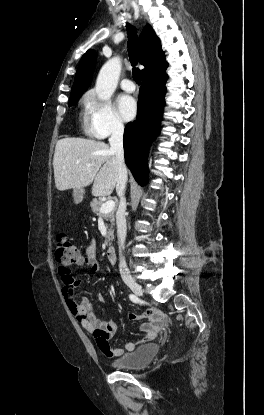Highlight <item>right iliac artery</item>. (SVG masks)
Returning a JSON list of instances; mask_svg holds the SVG:
<instances>
[{
	"instance_id": "right-iliac-artery-1",
	"label": "right iliac artery",
	"mask_w": 264,
	"mask_h": 415,
	"mask_svg": "<svg viewBox=\"0 0 264 415\" xmlns=\"http://www.w3.org/2000/svg\"><path fill=\"white\" fill-rule=\"evenodd\" d=\"M129 298H130V300H131L132 302H134V303H138V301H139L138 297H137V296H135V295H133V294H130V295H129Z\"/></svg>"
}]
</instances>
